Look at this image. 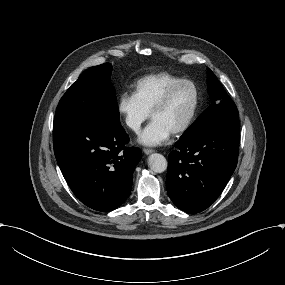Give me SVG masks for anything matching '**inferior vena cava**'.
Instances as JSON below:
<instances>
[{
    "mask_svg": "<svg viewBox=\"0 0 285 285\" xmlns=\"http://www.w3.org/2000/svg\"><path fill=\"white\" fill-rule=\"evenodd\" d=\"M127 124L130 126V127H132V128H134L135 127V125L134 124H132V123H129L128 121H127Z\"/></svg>",
    "mask_w": 285,
    "mask_h": 285,
    "instance_id": "602c4592",
    "label": "inferior vena cava"
}]
</instances>
